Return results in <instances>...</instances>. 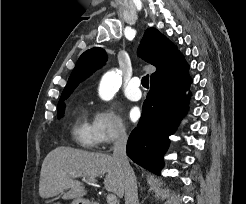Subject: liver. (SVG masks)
Wrapping results in <instances>:
<instances>
[{"instance_id":"6515ba94","label":"liver","mask_w":246,"mask_h":204,"mask_svg":"<svg viewBox=\"0 0 246 204\" xmlns=\"http://www.w3.org/2000/svg\"><path fill=\"white\" fill-rule=\"evenodd\" d=\"M85 179L105 176L107 191L124 196V173L119 163L110 155L92 153L70 147H57L45 157L39 181L42 198L54 197L66 190L63 199H80L87 194L84 184L74 180L72 174Z\"/></svg>"}]
</instances>
